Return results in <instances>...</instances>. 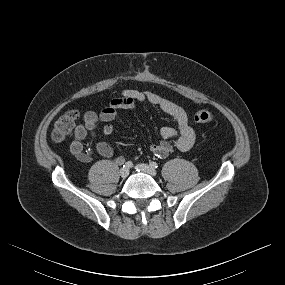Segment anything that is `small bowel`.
I'll list each match as a JSON object with an SVG mask.
<instances>
[{"label": "small bowel", "mask_w": 285, "mask_h": 285, "mask_svg": "<svg viewBox=\"0 0 285 285\" xmlns=\"http://www.w3.org/2000/svg\"><path fill=\"white\" fill-rule=\"evenodd\" d=\"M139 102H149L158 107L168 114L176 124V127L165 126L160 129L159 134L162 140L150 147L155 155L166 157L174 148L186 152L193 147L196 134L189 124L187 112L180 105L151 91L125 89L100 112L87 111L84 114L83 123L79 124L74 130L73 140L70 144L72 155L83 163H91L93 161L92 152L84 147L83 140L87 136L96 140V126L99 122L106 123L103 128L104 135H112L114 127L111 122L117 118V111L119 109H131ZM95 149L103 157H113L116 164L124 162L123 156L114 157L112 147L106 142L96 141Z\"/></svg>", "instance_id": "1"}]
</instances>
